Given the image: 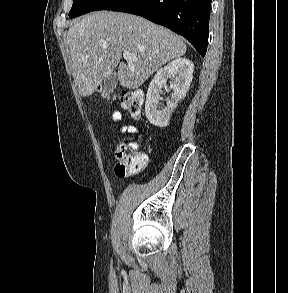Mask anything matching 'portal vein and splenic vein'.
<instances>
[{"instance_id": "obj_1", "label": "portal vein and splenic vein", "mask_w": 288, "mask_h": 293, "mask_svg": "<svg viewBox=\"0 0 288 293\" xmlns=\"http://www.w3.org/2000/svg\"><path fill=\"white\" fill-rule=\"evenodd\" d=\"M122 56L123 58L126 60V61H133V60H136L137 58L135 56H133L131 53L129 52H123L122 53Z\"/></svg>"}]
</instances>
